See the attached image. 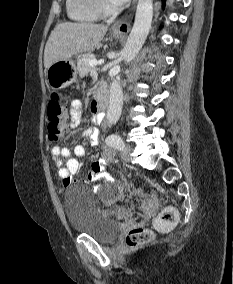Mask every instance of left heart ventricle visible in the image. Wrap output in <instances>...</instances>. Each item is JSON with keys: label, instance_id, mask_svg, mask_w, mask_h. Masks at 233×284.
I'll list each match as a JSON object with an SVG mask.
<instances>
[{"label": "left heart ventricle", "instance_id": "obj_1", "mask_svg": "<svg viewBox=\"0 0 233 284\" xmlns=\"http://www.w3.org/2000/svg\"><path fill=\"white\" fill-rule=\"evenodd\" d=\"M106 1H107V3H108L110 6H115V5L112 3L111 0H106Z\"/></svg>", "mask_w": 233, "mask_h": 284}]
</instances>
